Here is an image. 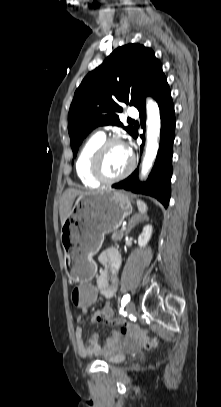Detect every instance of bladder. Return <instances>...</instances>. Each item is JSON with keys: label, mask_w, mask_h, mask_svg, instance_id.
<instances>
[{"label": "bladder", "mask_w": 221, "mask_h": 407, "mask_svg": "<svg viewBox=\"0 0 221 407\" xmlns=\"http://www.w3.org/2000/svg\"><path fill=\"white\" fill-rule=\"evenodd\" d=\"M124 360H125V354L120 352L118 349H115V350L107 353V355L105 356V361L111 365L120 364Z\"/></svg>", "instance_id": "31cf9c89"}]
</instances>
